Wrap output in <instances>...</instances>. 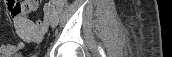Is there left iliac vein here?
I'll return each instance as SVG.
<instances>
[{
    "mask_svg": "<svg viewBox=\"0 0 172 57\" xmlns=\"http://www.w3.org/2000/svg\"><path fill=\"white\" fill-rule=\"evenodd\" d=\"M46 10L48 12L45 16L46 20L50 23L52 27H55L58 22V14L56 9L52 5L48 4Z\"/></svg>",
    "mask_w": 172,
    "mask_h": 57,
    "instance_id": "obj_1",
    "label": "left iliac vein"
}]
</instances>
